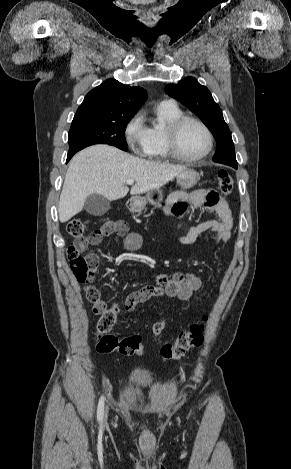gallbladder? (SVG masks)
Segmentation results:
<instances>
[{
    "label": "gallbladder",
    "instance_id": "gallbladder-1",
    "mask_svg": "<svg viewBox=\"0 0 291 469\" xmlns=\"http://www.w3.org/2000/svg\"><path fill=\"white\" fill-rule=\"evenodd\" d=\"M110 209V201L100 194L89 195L84 203V210L94 216L104 215Z\"/></svg>",
    "mask_w": 291,
    "mask_h": 469
}]
</instances>
